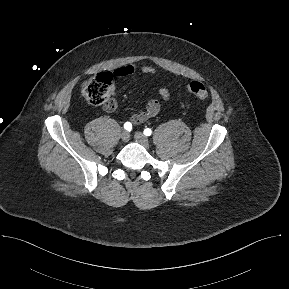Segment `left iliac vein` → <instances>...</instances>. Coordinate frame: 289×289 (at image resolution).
I'll use <instances>...</instances> for the list:
<instances>
[{
    "label": "left iliac vein",
    "mask_w": 289,
    "mask_h": 289,
    "mask_svg": "<svg viewBox=\"0 0 289 289\" xmlns=\"http://www.w3.org/2000/svg\"><path fill=\"white\" fill-rule=\"evenodd\" d=\"M134 138L139 144L144 146L146 149L149 148L148 138L142 132H139V131L136 132L134 135Z\"/></svg>",
    "instance_id": "left-iliac-vein-1"
}]
</instances>
